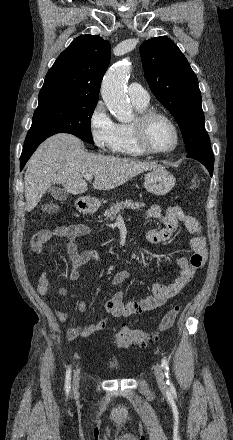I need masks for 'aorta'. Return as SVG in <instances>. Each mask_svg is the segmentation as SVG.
Instances as JSON below:
<instances>
[{
	"label": "aorta",
	"mask_w": 233,
	"mask_h": 440,
	"mask_svg": "<svg viewBox=\"0 0 233 440\" xmlns=\"http://www.w3.org/2000/svg\"><path fill=\"white\" fill-rule=\"evenodd\" d=\"M130 65L122 62L110 68L104 75L101 95L109 111L120 122L133 118L132 106L125 91Z\"/></svg>",
	"instance_id": "obj_1"
}]
</instances>
